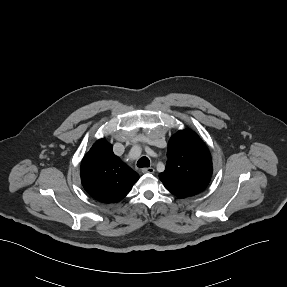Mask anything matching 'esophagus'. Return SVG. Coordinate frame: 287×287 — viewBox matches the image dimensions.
I'll use <instances>...</instances> for the list:
<instances>
[{"label":"esophagus","instance_id":"34e87169","mask_svg":"<svg viewBox=\"0 0 287 287\" xmlns=\"http://www.w3.org/2000/svg\"><path fill=\"white\" fill-rule=\"evenodd\" d=\"M154 168H152V167H148V168H143L142 169V172L143 173H149V174H152V173H154Z\"/></svg>","mask_w":287,"mask_h":287}]
</instances>
